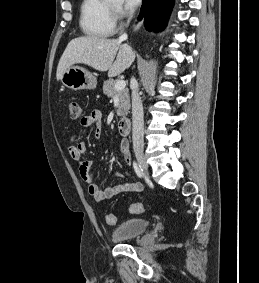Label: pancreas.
Here are the masks:
<instances>
[{
  "instance_id": "1",
  "label": "pancreas",
  "mask_w": 259,
  "mask_h": 283,
  "mask_svg": "<svg viewBox=\"0 0 259 283\" xmlns=\"http://www.w3.org/2000/svg\"><path fill=\"white\" fill-rule=\"evenodd\" d=\"M116 82L117 81L113 79L105 81L103 85V93L110 98H118L119 106L116 110L117 116H125L128 114L130 109L129 90L123 89L117 91L115 89Z\"/></svg>"
}]
</instances>
